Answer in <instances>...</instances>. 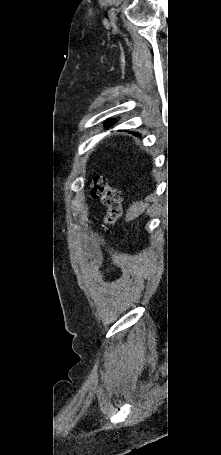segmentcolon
<instances>
[{"label":"colon","mask_w":221,"mask_h":455,"mask_svg":"<svg viewBox=\"0 0 221 455\" xmlns=\"http://www.w3.org/2000/svg\"><path fill=\"white\" fill-rule=\"evenodd\" d=\"M90 194L93 198L100 200L107 208L104 224L115 223L121 214V192L111 187L105 177H97L90 184Z\"/></svg>","instance_id":"obj_1"}]
</instances>
